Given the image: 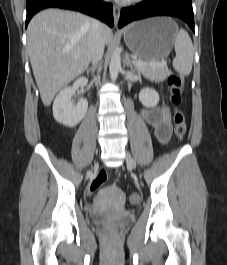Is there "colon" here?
<instances>
[{"label":"colon","mask_w":227,"mask_h":265,"mask_svg":"<svg viewBox=\"0 0 227 265\" xmlns=\"http://www.w3.org/2000/svg\"><path fill=\"white\" fill-rule=\"evenodd\" d=\"M170 101L174 105L173 121L175 136L183 140L187 133V123L183 112L177 107L181 102V94L185 86V78L181 75H172L168 78ZM107 173L99 171L89 184V193L94 194L107 181ZM131 204H138L140 197L137 194H131L129 197Z\"/></svg>","instance_id":"1"}]
</instances>
